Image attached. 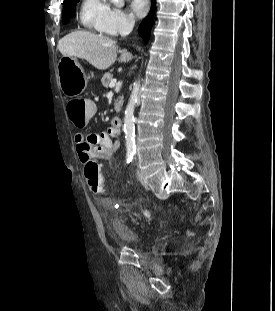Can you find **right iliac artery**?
I'll list each match as a JSON object with an SVG mask.
<instances>
[{
    "label": "right iliac artery",
    "instance_id": "82829eb1",
    "mask_svg": "<svg viewBox=\"0 0 275 311\" xmlns=\"http://www.w3.org/2000/svg\"><path fill=\"white\" fill-rule=\"evenodd\" d=\"M133 159V154L132 153H128L127 154V163H130Z\"/></svg>",
    "mask_w": 275,
    "mask_h": 311
}]
</instances>
